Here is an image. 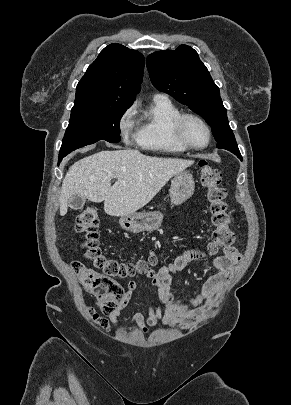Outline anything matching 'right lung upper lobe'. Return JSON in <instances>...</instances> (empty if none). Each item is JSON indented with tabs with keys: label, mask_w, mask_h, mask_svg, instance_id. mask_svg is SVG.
<instances>
[{
	"label": "right lung upper lobe",
	"mask_w": 291,
	"mask_h": 405,
	"mask_svg": "<svg viewBox=\"0 0 291 405\" xmlns=\"http://www.w3.org/2000/svg\"><path fill=\"white\" fill-rule=\"evenodd\" d=\"M144 57L121 44H110L88 67L76 87L74 106L115 103L131 106L140 91Z\"/></svg>",
	"instance_id": "cb5924a9"
}]
</instances>
